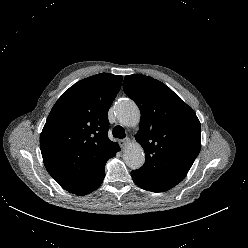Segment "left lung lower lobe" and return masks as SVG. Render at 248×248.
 Instances as JSON below:
<instances>
[{"label": "left lung lower lobe", "mask_w": 248, "mask_h": 248, "mask_svg": "<svg viewBox=\"0 0 248 248\" xmlns=\"http://www.w3.org/2000/svg\"><path fill=\"white\" fill-rule=\"evenodd\" d=\"M131 176H132L134 182H135L139 187H141V185H140V183H139L138 176H137V174H136L135 171H132V172H131ZM141 188H142V187H141Z\"/></svg>", "instance_id": "obj_1"}]
</instances>
